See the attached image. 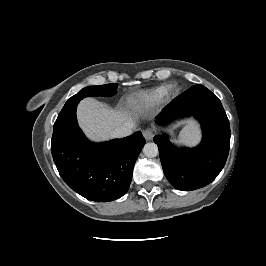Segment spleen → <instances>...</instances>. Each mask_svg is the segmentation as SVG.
Returning a JSON list of instances; mask_svg holds the SVG:
<instances>
[{"label":"spleen","mask_w":266,"mask_h":266,"mask_svg":"<svg viewBox=\"0 0 266 266\" xmlns=\"http://www.w3.org/2000/svg\"><path fill=\"white\" fill-rule=\"evenodd\" d=\"M201 138L200 130L198 125L196 124H189L179 136V143H182L186 146H194L199 143Z\"/></svg>","instance_id":"obj_1"}]
</instances>
